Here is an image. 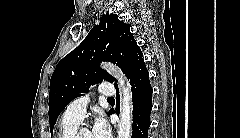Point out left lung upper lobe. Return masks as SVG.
I'll use <instances>...</instances> for the list:
<instances>
[{"label": "left lung upper lobe", "mask_w": 240, "mask_h": 138, "mask_svg": "<svg viewBox=\"0 0 240 138\" xmlns=\"http://www.w3.org/2000/svg\"><path fill=\"white\" fill-rule=\"evenodd\" d=\"M141 52L130 25L116 14H106L94 26L78 47L56 66L50 80V131L62 110L74 98L89 90L90 85L114 78L99 68L101 61H110L127 73L137 54ZM117 86V85H116Z\"/></svg>", "instance_id": "1"}]
</instances>
